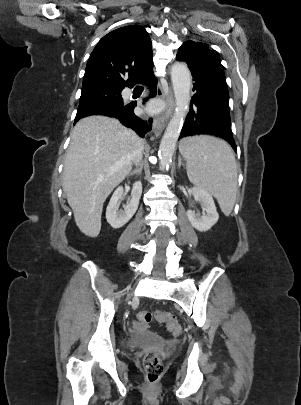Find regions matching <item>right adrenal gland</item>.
<instances>
[{
    "instance_id": "2a0ac1e0",
    "label": "right adrenal gland",
    "mask_w": 301,
    "mask_h": 405,
    "mask_svg": "<svg viewBox=\"0 0 301 405\" xmlns=\"http://www.w3.org/2000/svg\"><path fill=\"white\" fill-rule=\"evenodd\" d=\"M142 169H143V166H142V164H140V166L138 168H136L135 170H133L132 172H130L128 176H132L135 174L141 175Z\"/></svg>"
}]
</instances>
